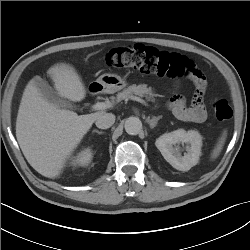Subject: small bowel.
Returning <instances> with one entry per match:
<instances>
[{"instance_id":"c3829d8e","label":"small bowel","mask_w":250,"mask_h":250,"mask_svg":"<svg viewBox=\"0 0 250 250\" xmlns=\"http://www.w3.org/2000/svg\"><path fill=\"white\" fill-rule=\"evenodd\" d=\"M191 80L194 82L193 79ZM167 106L178 119L183 121L202 123L207 119L203 100L193 101L192 105L188 107L182 97L174 95L169 99Z\"/></svg>"}]
</instances>
